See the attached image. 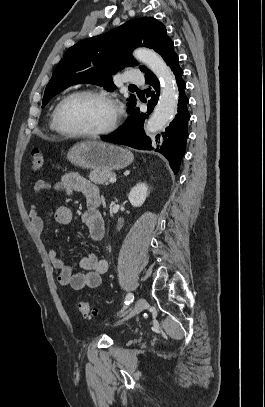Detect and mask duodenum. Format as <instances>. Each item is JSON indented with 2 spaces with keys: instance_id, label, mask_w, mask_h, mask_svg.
I'll return each mask as SVG.
<instances>
[{
  "instance_id": "410a0bca",
  "label": "duodenum",
  "mask_w": 265,
  "mask_h": 407,
  "mask_svg": "<svg viewBox=\"0 0 265 407\" xmlns=\"http://www.w3.org/2000/svg\"><path fill=\"white\" fill-rule=\"evenodd\" d=\"M91 205L93 208L98 209L101 206V200L100 199H94L91 201Z\"/></svg>"
}]
</instances>
